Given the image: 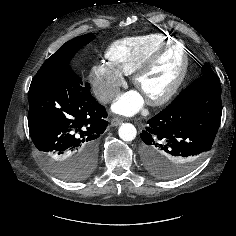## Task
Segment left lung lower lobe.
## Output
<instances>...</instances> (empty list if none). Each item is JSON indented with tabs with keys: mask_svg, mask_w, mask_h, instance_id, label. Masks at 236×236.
<instances>
[{
	"mask_svg": "<svg viewBox=\"0 0 236 236\" xmlns=\"http://www.w3.org/2000/svg\"><path fill=\"white\" fill-rule=\"evenodd\" d=\"M221 113L219 78L204 74L147 121L140 134L146 170L167 179L196 166L212 147Z\"/></svg>",
	"mask_w": 236,
	"mask_h": 236,
	"instance_id": "left-lung-lower-lobe-1",
	"label": "left lung lower lobe"
}]
</instances>
